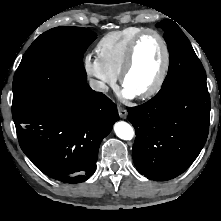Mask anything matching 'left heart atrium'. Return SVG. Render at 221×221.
Segmentation results:
<instances>
[{"instance_id":"obj_1","label":"left heart atrium","mask_w":221,"mask_h":221,"mask_svg":"<svg viewBox=\"0 0 221 221\" xmlns=\"http://www.w3.org/2000/svg\"><path fill=\"white\" fill-rule=\"evenodd\" d=\"M123 96L126 98H133L134 96H136V94L124 87Z\"/></svg>"}]
</instances>
